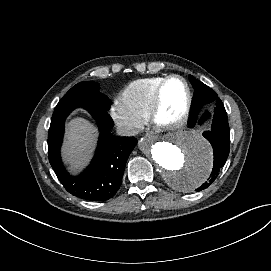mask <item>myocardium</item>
Returning a JSON list of instances; mask_svg holds the SVG:
<instances>
[{
	"instance_id": "1",
	"label": "myocardium",
	"mask_w": 271,
	"mask_h": 271,
	"mask_svg": "<svg viewBox=\"0 0 271 271\" xmlns=\"http://www.w3.org/2000/svg\"><path fill=\"white\" fill-rule=\"evenodd\" d=\"M178 79L182 81L187 89V100L183 107V109L174 117L167 118L164 116V103H163V94L167 84L173 80ZM193 90L188 82V80L179 74H171L166 76L163 81L156 88L153 95V106L151 111V119L153 123L157 126L166 128V129H176L181 127L183 124L187 122L190 117L192 108H193Z\"/></svg>"
}]
</instances>
